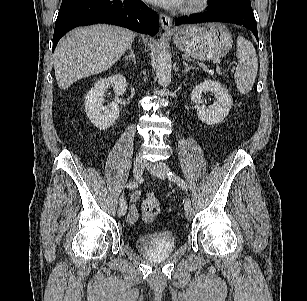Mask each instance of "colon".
Masks as SVG:
<instances>
[{"instance_id": "obj_1", "label": "colon", "mask_w": 307, "mask_h": 301, "mask_svg": "<svg viewBox=\"0 0 307 301\" xmlns=\"http://www.w3.org/2000/svg\"><path fill=\"white\" fill-rule=\"evenodd\" d=\"M160 212V204L153 193H149L142 203L143 219L152 222Z\"/></svg>"}]
</instances>
